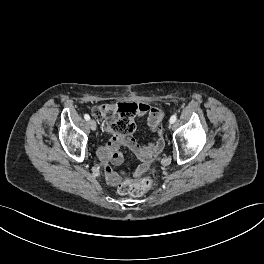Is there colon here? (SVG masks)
Here are the masks:
<instances>
[{
  "label": "colon",
  "mask_w": 264,
  "mask_h": 264,
  "mask_svg": "<svg viewBox=\"0 0 264 264\" xmlns=\"http://www.w3.org/2000/svg\"><path fill=\"white\" fill-rule=\"evenodd\" d=\"M136 112L137 105L135 103L108 104L93 108V115L96 118L106 119L110 129L121 135L131 134L135 130L134 117ZM151 186L152 179L149 177L141 179L126 178L120 184L118 191L123 195L141 196Z\"/></svg>",
  "instance_id": "obj_1"
}]
</instances>
